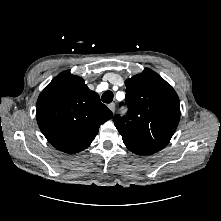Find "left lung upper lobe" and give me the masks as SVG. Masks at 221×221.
<instances>
[{"mask_svg": "<svg viewBox=\"0 0 221 221\" xmlns=\"http://www.w3.org/2000/svg\"><path fill=\"white\" fill-rule=\"evenodd\" d=\"M128 113L113 117L126 147L137 155L163 149L180 118L175 90L156 72L145 69L125 82Z\"/></svg>", "mask_w": 221, "mask_h": 221, "instance_id": "5c2ea615", "label": "left lung upper lobe"}]
</instances>
